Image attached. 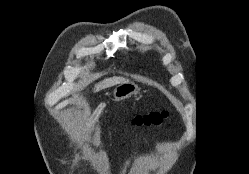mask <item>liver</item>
<instances>
[{"label": "liver", "mask_w": 249, "mask_h": 174, "mask_svg": "<svg viewBox=\"0 0 249 174\" xmlns=\"http://www.w3.org/2000/svg\"><path fill=\"white\" fill-rule=\"evenodd\" d=\"M124 82H127V80L123 77L107 78L95 85L94 92H98L102 89H106V88H109L115 85H119Z\"/></svg>", "instance_id": "1"}]
</instances>
